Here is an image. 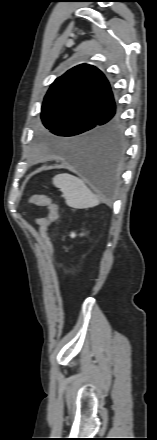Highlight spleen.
Masks as SVG:
<instances>
[{
  "label": "spleen",
  "instance_id": "spleen-1",
  "mask_svg": "<svg viewBox=\"0 0 157 440\" xmlns=\"http://www.w3.org/2000/svg\"><path fill=\"white\" fill-rule=\"evenodd\" d=\"M53 185L62 191L66 204L71 208L87 209L100 203L84 182L73 175L58 174L53 178Z\"/></svg>",
  "mask_w": 157,
  "mask_h": 440
}]
</instances>
